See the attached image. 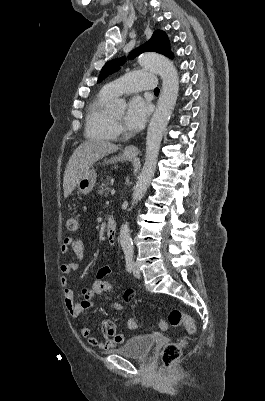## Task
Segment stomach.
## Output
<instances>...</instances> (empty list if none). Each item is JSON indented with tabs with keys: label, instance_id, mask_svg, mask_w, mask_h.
<instances>
[{
	"label": "stomach",
	"instance_id": "stomach-1",
	"mask_svg": "<svg viewBox=\"0 0 265 401\" xmlns=\"http://www.w3.org/2000/svg\"><path fill=\"white\" fill-rule=\"evenodd\" d=\"M134 158H136V156H133V154H129V152H123V154H120V156H112V158H108V160H105V164H108V162H117V160H134ZM96 180V168H94V166H90V168L86 170L85 174H83L82 178H80V180L77 182L79 192H81V194H88V192H91L93 186H95Z\"/></svg>",
	"mask_w": 265,
	"mask_h": 401
}]
</instances>
